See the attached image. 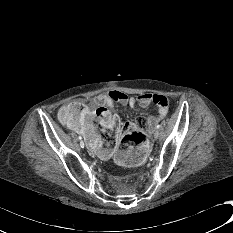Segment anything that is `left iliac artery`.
<instances>
[{"label": "left iliac artery", "mask_w": 233, "mask_h": 233, "mask_svg": "<svg viewBox=\"0 0 233 233\" xmlns=\"http://www.w3.org/2000/svg\"><path fill=\"white\" fill-rule=\"evenodd\" d=\"M156 128L159 129L160 128V124H156Z\"/></svg>", "instance_id": "1"}]
</instances>
